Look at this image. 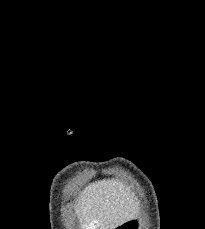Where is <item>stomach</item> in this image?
Returning a JSON list of instances; mask_svg holds the SVG:
<instances>
[{
	"instance_id": "obj_1",
	"label": "stomach",
	"mask_w": 205,
	"mask_h": 229,
	"mask_svg": "<svg viewBox=\"0 0 205 229\" xmlns=\"http://www.w3.org/2000/svg\"><path fill=\"white\" fill-rule=\"evenodd\" d=\"M115 229H144V219L141 215H135L116 226Z\"/></svg>"
}]
</instances>
